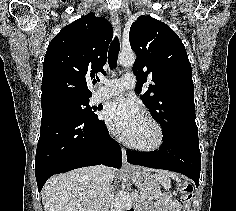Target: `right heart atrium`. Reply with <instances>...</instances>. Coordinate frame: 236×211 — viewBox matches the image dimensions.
<instances>
[{
  "label": "right heart atrium",
  "instance_id": "d8ad5b80",
  "mask_svg": "<svg viewBox=\"0 0 236 211\" xmlns=\"http://www.w3.org/2000/svg\"><path fill=\"white\" fill-rule=\"evenodd\" d=\"M107 130H108V133H109L111 136H114V135H115L114 130H113L110 126H107Z\"/></svg>",
  "mask_w": 236,
  "mask_h": 211
}]
</instances>
